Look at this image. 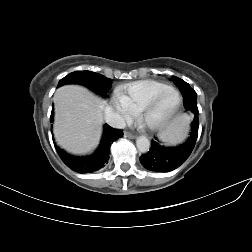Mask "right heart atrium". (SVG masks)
I'll return each instance as SVG.
<instances>
[{
  "label": "right heart atrium",
  "instance_id": "1",
  "mask_svg": "<svg viewBox=\"0 0 252 252\" xmlns=\"http://www.w3.org/2000/svg\"><path fill=\"white\" fill-rule=\"evenodd\" d=\"M112 105L116 121L120 125L131 121L135 115V110L131 107L126 97L118 91L112 96Z\"/></svg>",
  "mask_w": 252,
  "mask_h": 252
}]
</instances>
